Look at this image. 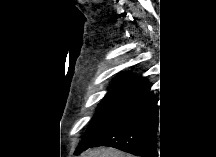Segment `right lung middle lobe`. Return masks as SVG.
I'll return each instance as SVG.
<instances>
[{
    "label": "right lung middle lobe",
    "mask_w": 216,
    "mask_h": 157,
    "mask_svg": "<svg viewBox=\"0 0 216 157\" xmlns=\"http://www.w3.org/2000/svg\"><path fill=\"white\" fill-rule=\"evenodd\" d=\"M136 92L120 91L106 95L99 103L82 141L76 150L92 146L97 140L113 129L124 116Z\"/></svg>",
    "instance_id": "right-lung-middle-lobe-1"
}]
</instances>
